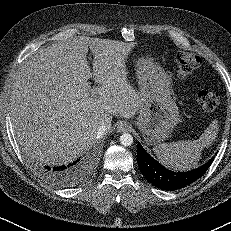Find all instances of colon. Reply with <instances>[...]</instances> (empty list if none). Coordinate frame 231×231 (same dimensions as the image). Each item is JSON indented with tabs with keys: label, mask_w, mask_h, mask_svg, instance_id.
<instances>
[{
	"label": "colon",
	"mask_w": 231,
	"mask_h": 231,
	"mask_svg": "<svg viewBox=\"0 0 231 231\" xmlns=\"http://www.w3.org/2000/svg\"><path fill=\"white\" fill-rule=\"evenodd\" d=\"M201 59L196 54L180 52L176 55L177 73L184 78L199 68ZM197 102L204 110H213L218 105V95L209 89H202L197 95Z\"/></svg>",
	"instance_id": "1"
}]
</instances>
